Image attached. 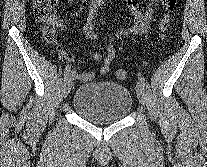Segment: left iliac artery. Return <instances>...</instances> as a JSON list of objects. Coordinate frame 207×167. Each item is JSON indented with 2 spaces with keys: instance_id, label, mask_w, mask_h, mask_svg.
<instances>
[{
  "instance_id": "1",
  "label": "left iliac artery",
  "mask_w": 207,
  "mask_h": 167,
  "mask_svg": "<svg viewBox=\"0 0 207 167\" xmlns=\"http://www.w3.org/2000/svg\"><path fill=\"white\" fill-rule=\"evenodd\" d=\"M138 78H139V81L143 84V86H145V79L140 72L138 73Z\"/></svg>"
}]
</instances>
